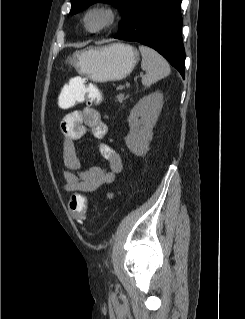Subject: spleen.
Returning a JSON list of instances; mask_svg holds the SVG:
<instances>
[{"label": "spleen", "mask_w": 245, "mask_h": 319, "mask_svg": "<svg viewBox=\"0 0 245 319\" xmlns=\"http://www.w3.org/2000/svg\"><path fill=\"white\" fill-rule=\"evenodd\" d=\"M139 50L142 55L141 68L146 72L142 77V84L145 87H150L170 74L168 62L154 49L141 45Z\"/></svg>", "instance_id": "3e777b00"}]
</instances>
